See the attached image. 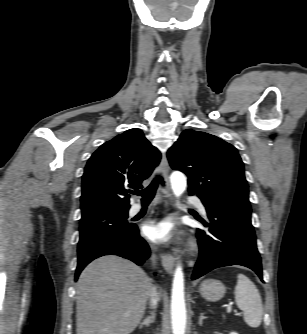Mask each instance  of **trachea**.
Returning a JSON list of instances; mask_svg holds the SVG:
<instances>
[{"label": "trachea", "instance_id": "trachea-1", "mask_svg": "<svg viewBox=\"0 0 307 334\" xmlns=\"http://www.w3.org/2000/svg\"><path fill=\"white\" fill-rule=\"evenodd\" d=\"M159 183L163 184V180L161 177H156L147 188L134 191L133 193L141 196L143 203H149L153 199Z\"/></svg>", "mask_w": 307, "mask_h": 334}]
</instances>
